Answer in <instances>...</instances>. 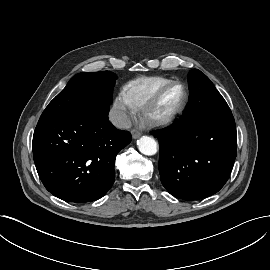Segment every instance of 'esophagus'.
Masks as SVG:
<instances>
[{"label": "esophagus", "instance_id": "34e87169", "mask_svg": "<svg viewBox=\"0 0 270 270\" xmlns=\"http://www.w3.org/2000/svg\"><path fill=\"white\" fill-rule=\"evenodd\" d=\"M133 139H137L141 136V132L138 129H133L131 131Z\"/></svg>", "mask_w": 270, "mask_h": 270}]
</instances>
